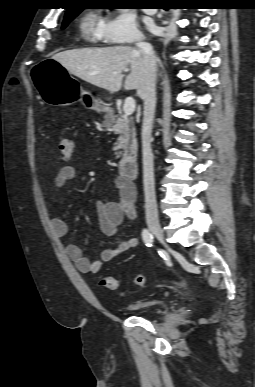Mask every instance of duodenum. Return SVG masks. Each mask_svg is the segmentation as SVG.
<instances>
[{"label": "duodenum", "instance_id": "1", "mask_svg": "<svg viewBox=\"0 0 255 387\" xmlns=\"http://www.w3.org/2000/svg\"><path fill=\"white\" fill-rule=\"evenodd\" d=\"M119 171L128 181L136 179L139 174L137 158L134 156H124L119 163Z\"/></svg>", "mask_w": 255, "mask_h": 387}]
</instances>
